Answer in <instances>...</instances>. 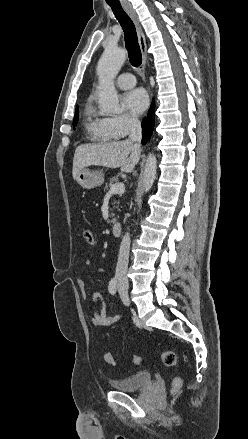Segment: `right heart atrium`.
Instances as JSON below:
<instances>
[{"label": "right heart atrium", "mask_w": 248, "mask_h": 439, "mask_svg": "<svg viewBox=\"0 0 248 439\" xmlns=\"http://www.w3.org/2000/svg\"><path fill=\"white\" fill-rule=\"evenodd\" d=\"M108 129L117 137H125L134 131L138 125V119L129 113H123L105 118Z\"/></svg>", "instance_id": "right-heart-atrium-1"}]
</instances>
